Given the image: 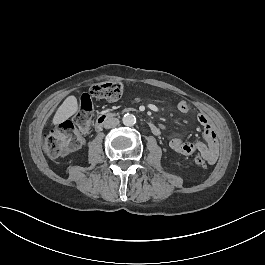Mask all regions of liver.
I'll list each match as a JSON object with an SVG mask.
<instances>
[{"mask_svg":"<svg viewBox=\"0 0 265 265\" xmlns=\"http://www.w3.org/2000/svg\"><path fill=\"white\" fill-rule=\"evenodd\" d=\"M78 110L77 99L75 96L67 97L61 106L56 111L52 123L54 125H59L62 122L66 121Z\"/></svg>","mask_w":265,"mask_h":265,"instance_id":"obj_1","label":"liver"}]
</instances>
